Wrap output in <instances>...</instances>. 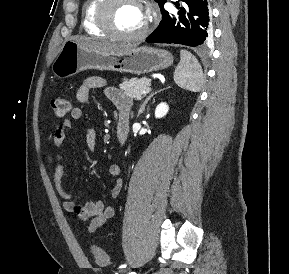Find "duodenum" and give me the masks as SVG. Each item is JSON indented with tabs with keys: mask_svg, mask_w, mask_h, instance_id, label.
<instances>
[{
	"mask_svg": "<svg viewBox=\"0 0 289 274\" xmlns=\"http://www.w3.org/2000/svg\"><path fill=\"white\" fill-rule=\"evenodd\" d=\"M129 124H130V114L121 112L119 113V118L116 126V136L119 143L124 144L128 132H129Z\"/></svg>",
	"mask_w": 289,
	"mask_h": 274,
	"instance_id": "obj_1",
	"label": "duodenum"
}]
</instances>
